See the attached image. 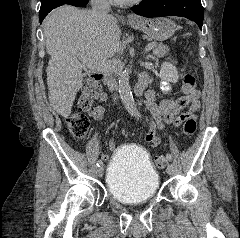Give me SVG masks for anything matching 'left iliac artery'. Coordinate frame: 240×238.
Returning <instances> with one entry per match:
<instances>
[{
  "mask_svg": "<svg viewBox=\"0 0 240 238\" xmlns=\"http://www.w3.org/2000/svg\"><path fill=\"white\" fill-rule=\"evenodd\" d=\"M166 157H167V159H168L169 161L172 160V155H171V154H167Z\"/></svg>",
  "mask_w": 240,
  "mask_h": 238,
  "instance_id": "obj_1",
  "label": "left iliac artery"
}]
</instances>
